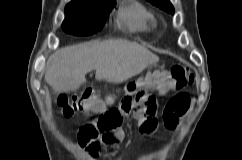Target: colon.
Wrapping results in <instances>:
<instances>
[{
    "instance_id": "1",
    "label": "colon",
    "mask_w": 242,
    "mask_h": 160,
    "mask_svg": "<svg viewBox=\"0 0 242 160\" xmlns=\"http://www.w3.org/2000/svg\"><path fill=\"white\" fill-rule=\"evenodd\" d=\"M194 80L189 67L175 65L169 69L157 71L153 74L127 85V96L123 100L121 109L110 108L102 111L101 105L93 90H85L77 94H63L58 98L60 113L70 118L77 113L101 112L100 115L82 125L79 137L83 145L100 147L99 138L120 127L123 116L133 114L137 118L145 119L143 131L152 132L157 125L155 119L156 94H177L169 101L164 118L172 124L174 117L183 115L189 108L190 100L185 91Z\"/></svg>"
}]
</instances>
